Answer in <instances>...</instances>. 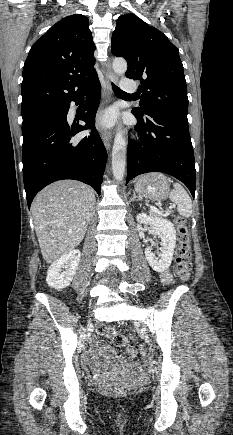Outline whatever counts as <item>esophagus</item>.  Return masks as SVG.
Returning <instances> with one entry per match:
<instances>
[{
    "label": "esophagus",
    "instance_id": "esophagus-1",
    "mask_svg": "<svg viewBox=\"0 0 233 435\" xmlns=\"http://www.w3.org/2000/svg\"><path fill=\"white\" fill-rule=\"evenodd\" d=\"M105 66H106V72H105V96H106V101L109 102L110 98H111V94H112L111 82H116L117 81V77L113 73L109 61L105 64ZM99 132H100V136H101V139H102L105 147L109 149L110 146H111V133H110V131H108L106 129H103V128H99Z\"/></svg>",
    "mask_w": 233,
    "mask_h": 435
}]
</instances>
